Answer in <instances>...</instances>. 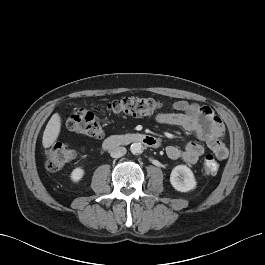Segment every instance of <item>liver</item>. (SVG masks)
Listing matches in <instances>:
<instances>
[{"label": "liver", "mask_w": 265, "mask_h": 265, "mask_svg": "<svg viewBox=\"0 0 265 265\" xmlns=\"http://www.w3.org/2000/svg\"><path fill=\"white\" fill-rule=\"evenodd\" d=\"M60 130L61 118L58 113H55L52 115L43 133L42 144L45 149L54 144L59 136Z\"/></svg>", "instance_id": "liver-1"}]
</instances>
